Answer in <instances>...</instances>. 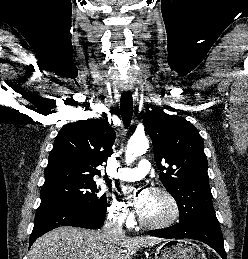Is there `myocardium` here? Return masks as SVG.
<instances>
[{"label": "myocardium", "mask_w": 248, "mask_h": 259, "mask_svg": "<svg viewBox=\"0 0 248 259\" xmlns=\"http://www.w3.org/2000/svg\"><path fill=\"white\" fill-rule=\"evenodd\" d=\"M152 193L163 196L169 202L171 208L170 215L166 219L157 222L146 221L140 216V224L149 229H163L172 226L180 217V206L178 201L171 192L161 187L153 188Z\"/></svg>", "instance_id": "myocardium-1"}]
</instances>
